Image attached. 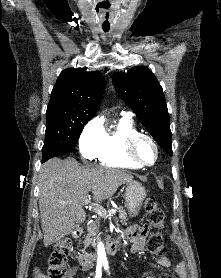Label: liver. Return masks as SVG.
Returning <instances> with one entry per match:
<instances>
[{
  "instance_id": "6515ba94",
  "label": "liver",
  "mask_w": 221,
  "mask_h": 278,
  "mask_svg": "<svg viewBox=\"0 0 221 278\" xmlns=\"http://www.w3.org/2000/svg\"><path fill=\"white\" fill-rule=\"evenodd\" d=\"M39 209L43 243L51 245L69 235L76 223L86 219L83 209L89 192L101 202L114 195L118 187L133 179L121 170L105 166L84 168L74 158H54L40 171Z\"/></svg>"
}]
</instances>
